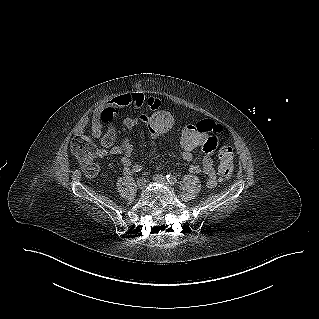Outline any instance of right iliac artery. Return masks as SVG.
Returning a JSON list of instances; mask_svg holds the SVG:
<instances>
[{
	"label": "right iliac artery",
	"instance_id": "82829eb1",
	"mask_svg": "<svg viewBox=\"0 0 319 319\" xmlns=\"http://www.w3.org/2000/svg\"><path fill=\"white\" fill-rule=\"evenodd\" d=\"M141 170H142V167L139 166V165H136V166L133 167V172H139Z\"/></svg>",
	"mask_w": 319,
	"mask_h": 319
}]
</instances>
